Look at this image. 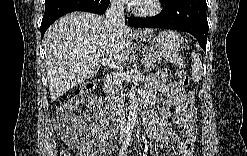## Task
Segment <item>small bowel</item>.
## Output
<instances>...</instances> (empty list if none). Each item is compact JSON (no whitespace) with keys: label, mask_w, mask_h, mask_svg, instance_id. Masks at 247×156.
Here are the masks:
<instances>
[{"label":"small bowel","mask_w":247,"mask_h":156,"mask_svg":"<svg viewBox=\"0 0 247 156\" xmlns=\"http://www.w3.org/2000/svg\"><path fill=\"white\" fill-rule=\"evenodd\" d=\"M161 96L164 97V106L158 113H154L153 106ZM146 102L152 113L146 124L147 134L153 144L151 155H156L154 147L157 144L175 150L174 155H192L196 138V109L191 111L188 108L187 96L181 86L169 82L164 73H159L151 79L146 88ZM170 107H174L173 115ZM173 127L183 131V137L178 142Z\"/></svg>","instance_id":"small-bowel-1"}]
</instances>
